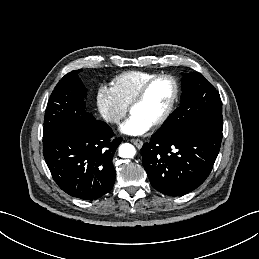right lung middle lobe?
<instances>
[{
    "label": "right lung middle lobe",
    "instance_id": "right-lung-middle-lobe-1",
    "mask_svg": "<svg viewBox=\"0 0 259 259\" xmlns=\"http://www.w3.org/2000/svg\"><path fill=\"white\" fill-rule=\"evenodd\" d=\"M80 71L66 74L52 91L45 111L43 138L61 123L83 126L95 120L86 110V90L77 75Z\"/></svg>",
    "mask_w": 259,
    "mask_h": 259
}]
</instances>
